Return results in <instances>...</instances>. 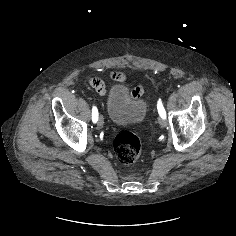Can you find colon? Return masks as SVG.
Returning a JSON list of instances; mask_svg holds the SVG:
<instances>
[{
	"label": "colon",
	"mask_w": 236,
	"mask_h": 236,
	"mask_svg": "<svg viewBox=\"0 0 236 236\" xmlns=\"http://www.w3.org/2000/svg\"><path fill=\"white\" fill-rule=\"evenodd\" d=\"M113 147L116 157L124 164L136 162L142 151L140 138L131 130L122 131L117 134Z\"/></svg>",
	"instance_id": "obj_1"
}]
</instances>
